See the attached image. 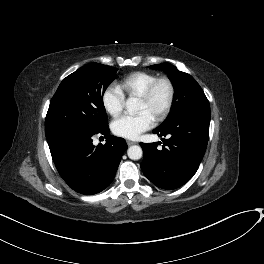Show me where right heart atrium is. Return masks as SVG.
Masks as SVG:
<instances>
[{
    "label": "right heart atrium",
    "mask_w": 264,
    "mask_h": 264,
    "mask_svg": "<svg viewBox=\"0 0 264 264\" xmlns=\"http://www.w3.org/2000/svg\"><path fill=\"white\" fill-rule=\"evenodd\" d=\"M105 110L113 117L121 114L125 106V95L119 87L109 86L102 95Z\"/></svg>",
    "instance_id": "right-heart-atrium-1"
}]
</instances>
